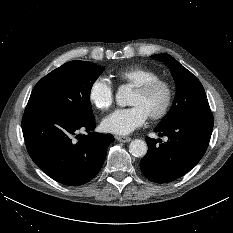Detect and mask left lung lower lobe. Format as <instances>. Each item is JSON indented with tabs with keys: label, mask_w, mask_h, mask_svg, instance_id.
Returning a JSON list of instances; mask_svg holds the SVG:
<instances>
[{
	"label": "left lung lower lobe",
	"mask_w": 233,
	"mask_h": 233,
	"mask_svg": "<svg viewBox=\"0 0 233 233\" xmlns=\"http://www.w3.org/2000/svg\"><path fill=\"white\" fill-rule=\"evenodd\" d=\"M213 130L210 113H193L173 124L155 128L168 141L146 137L148 152L140 162L142 173L156 183L171 182L190 171L203 157ZM161 142V140H158Z\"/></svg>",
	"instance_id": "0a47b994"
}]
</instances>
